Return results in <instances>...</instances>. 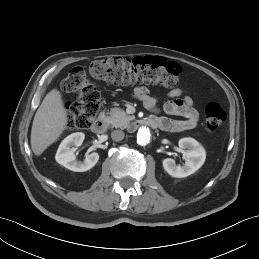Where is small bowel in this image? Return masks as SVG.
I'll return each mask as SVG.
<instances>
[{
    "instance_id": "obj_1",
    "label": "small bowel",
    "mask_w": 259,
    "mask_h": 259,
    "mask_svg": "<svg viewBox=\"0 0 259 259\" xmlns=\"http://www.w3.org/2000/svg\"><path fill=\"white\" fill-rule=\"evenodd\" d=\"M133 95L136 99L142 102L144 107L154 114L161 122V129L166 131H182L193 129L199 121V113L193 107V100L189 96L182 97V90L174 88L170 90L167 96L170 98L165 102L163 110L168 115L181 116L182 120H175L168 117L157 116L159 107L156 99L152 97L145 87H136Z\"/></svg>"
}]
</instances>
